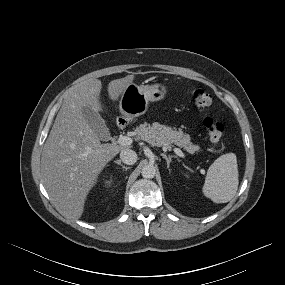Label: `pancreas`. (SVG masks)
I'll list each match as a JSON object with an SVG mask.
<instances>
[{
    "label": "pancreas",
    "mask_w": 285,
    "mask_h": 285,
    "mask_svg": "<svg viewBox=\"0 0 285 285\" xmlns=\"http://www.w3.org/2000/svg\"><path fill=\"white\" fill-rule=\"evenodd\" d=\"M136 133L140 138L152 146L164 147L171 149L172 144L183 147L189 153L199 150V146L193 145L189 134L182 130H174L171 127L161 125L158 122L152 125L144 123L136 128Z\"/></svg>",
    "instance_id": "pancreas-1"
}]
</instances>
